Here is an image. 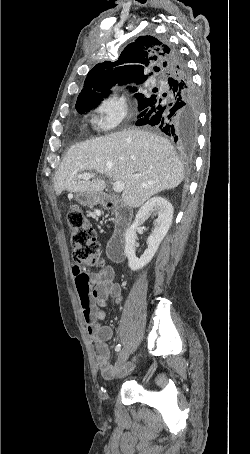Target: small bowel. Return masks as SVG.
<instances>
[{"instance_id": "small-bowel-1", "label": "small bowel", "mask_w": 250, "mask_h": 454, "mask_svg": "<svg viewBox=\"0 0 250 454\" xmlns=\"http://www.w3.org/2000/svg\"><path fill=\"white\" fill-rule=\"evenodd\" d=\"M72 273L80 305L88 323L87 331L94 346L95 362L102 377L112 379L125 375L132 368L131 363H120L119 360L111 363L107 341L112 338L113 331L110 326L98 323L107 316L104 307L109 297L114 298L117 303L122 300L121 287L114 281L113 269L107 266L92 272L75 265Z\"/></svg>"}]
</instances>
